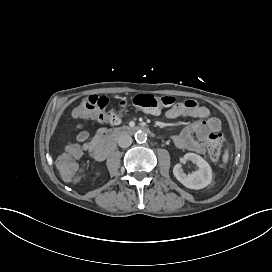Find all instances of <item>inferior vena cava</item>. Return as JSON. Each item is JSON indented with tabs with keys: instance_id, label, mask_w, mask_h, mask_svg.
I'll return each mask as SVG.
<instances>
[{
	"instance_id": "602c4592",
	"label": "inferior vena cava",
	"mask_w": 272,
	"mask_h": 272,
	"mask_svg": "<svg viewBox=\"0 0 272 272\" xmlns=\"http://www.w3.org/2000/svg\"><path fill=\"white\" fill-rule=\"evenodd\" d=\"M132 144V138L128 134H123L118 138V145L122 148H127Z\"/></svg>"
}]
</instances>
